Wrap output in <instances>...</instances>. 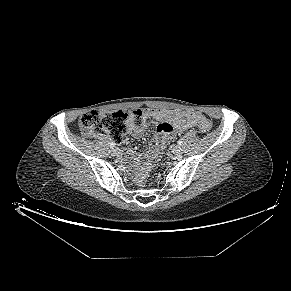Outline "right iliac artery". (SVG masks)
I'll list each match as a JSON object with an SVG mask.
<instances>
[{"label":"right iliac artery","instance_id":"82829eb1","mask_svg":"<svg viewBox=\"0 0 291 291\" xmlns=\"http://www.w3.org/2000/svg\"><path fill=\"white\" fill-rule=\"evenodd\" d=\"M110 147L112 148V149H114L115 148V143H110Z\"/></svg>","mask_w":291,"mask_h":291}]
</instances>
